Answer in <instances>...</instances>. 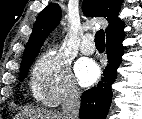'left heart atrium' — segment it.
Segmentation results:
<instances>
[{"label":"left heart atrium","instance_id":"left-heart-atrium-1","mask_svg":"<svg viewBox=\"0 0 142 119\" xmlns=\"http://www.w3.org/2000/svg\"><path fill=\"white\" fill-rule=\"evenodd\" d=\"M76 74L82 86H89L98 80L100 69L93 61L83 60L78 63Z\"/></svg>","mask_w":142,"mask_h":119}]
</instances>
